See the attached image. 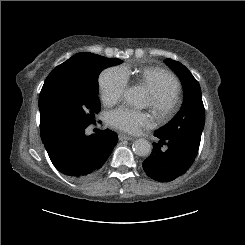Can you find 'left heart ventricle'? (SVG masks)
Wrapping results in <instances>:
<instances>
[{
    "mask_svg": "<svg viewBox=\"0 0 245 245\" xmlns=\"http://www.w3.org/2000/svg\"><path fill=\"white\" fill-rule=\"evenodd\" d=\"M150 102V96L148 97V103Z\"/></svg>",
    "mask_w": 245,
    "mask_h": 245,
    "instance_id": "1",
    "label": "left heart ventricle"
}]
</instances>
